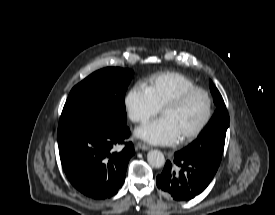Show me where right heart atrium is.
I'll return each instance as SVG.
<instances>
[{
	"instance_id": "d8ad5b80",
	"label": "right heart atrium",
	"mask_w": 275,
	"mask_h": 215,
	"mask_svg": "<svg viewBox=\"0 0 275 215\" xmlns=\"http://www.w3.org/2000/svg\"><path fill=\"white\" fill-rule=\"evenodd\" d=\"M124 102L129 118L135 123H144L159 112V107L142 84L134 85Z\"/></svg>"
}]
</instances>
